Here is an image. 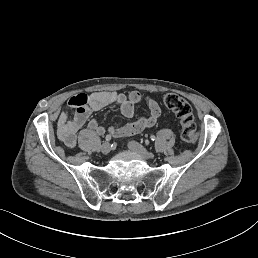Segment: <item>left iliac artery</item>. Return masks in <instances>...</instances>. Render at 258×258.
<instances>
[{"instance_id":"44dca946","label":"left iliac artery","mask_w":258,"mask_h":258,"mask_svg":"<svg viewBox=\"0 0 258 258\" xmlns=\"http://www.w3.org/2000/svg\"><path fill=\"white\" fill-rule=\"evenodd\" d=\"M150 139H151L152 141H155L156 137H155L154 135H152V136L150 137Z\"/></svg>"}]
</instances>
